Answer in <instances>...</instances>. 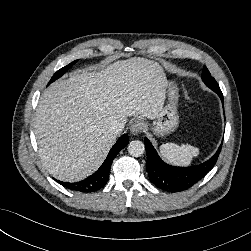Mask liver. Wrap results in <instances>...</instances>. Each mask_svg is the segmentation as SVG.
<instances>
[{
  "mask_svg": "<svg viewBox=\"0 0 251 251\" xmlns=\"http://www.w3.org/2000/svg\"><path fill=\"white\" fill-rule=\"evenodd\" d=\"M167 86L161 65L140 57L54 82L40 98L34 123L44 167L62 181L88 177L116 141L111 124L125 125L130 116L156 119Z\"/></svg>",
  "mask_w": 251,
  "mask_h": 251,
  "instance_id": "6515ba94",
  "label": "liver"
}]
</instances>
